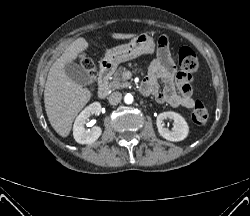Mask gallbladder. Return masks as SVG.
Returning <instances> with one entry per match:
<instances>
[{"label":"gallbladder","mask_w":250,"mask_h":216,"mask_svg":"<svg viewBox=\"0 0 250 216\" xmlns=\"http://www.w3.org/2000/svg\"><path fill=\"white\" fill-rule=\"evenodd\" d=\"M67 75L76 83L86 86L92 83V79L87 71L76 63H69L65 67Z\"/></svg>","instance_id":"obj_1"}]
</instances>
